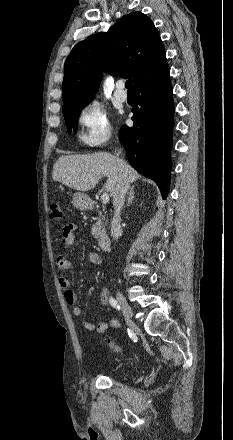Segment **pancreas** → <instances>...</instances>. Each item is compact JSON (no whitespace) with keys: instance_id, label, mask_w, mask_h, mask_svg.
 Returning <instances> with one entry per match:
<instances>
[{"instance_id":"1","label":"pancreas","mask_w":233,"mask_h":440,"mask_svg":"<svg viewBox=\"0 0 233 440\" xmlns=\"http://www.w3.org/2000/svg\"><path fill=\"white\" fill-rule=\"evenodd\" d=\"M100 216L97 219V222L92 226V235L94 238L98 239L101 236L105 235V224L102 220H104V217L102 216V213L99 212Z\"/></svg>"}]
</instances>
